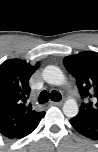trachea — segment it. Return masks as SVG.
I'll return each instance as SVG.
<instances>
[{
    "mask_svg": "<svg viewBox=\"0 0 98 152\" xmlns=\"http://www.w3.org/2000/svg\"><path fill=\"white\" fill-rule=\"evenodd\" d=\"M62 98L61 94L58 92V91H51L50 93L46 90H43L40 95H39V98H38V102L40 104H43V103H46L49 101V99H51L52 101H60Z\"/></svg>",
    "mask_w": 98,
    "mask_h": 152,
    "instance_id": "1",
    "label": "trachea"
}]
</instances>
